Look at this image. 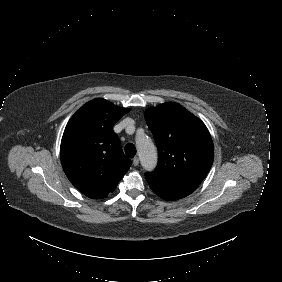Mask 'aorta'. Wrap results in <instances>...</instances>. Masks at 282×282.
I'll return each instance as SVG.
<instances>
[{
  "instance_id": "1",
  "label": "aorta",
  "mask_w": 282,
  "mask_h": 282,
  "mask_svg": "<svg viewBox=\"0 0 282 282\" xmlns=\"http://www.w3.org/2000/svg\"><path fill=\"white\" fill-rule=\"evenodd\" d=\"M135 144L142 169L153 172L158 164V152L151 138L145 133L135 135Z\"/></svg>"
}]
</instances>
